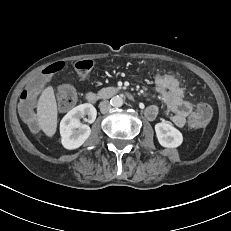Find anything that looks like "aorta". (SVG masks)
<instances>
[{
	"label": "aorta",
	"mask_w": 231,
	"mask_h": 231,
	"mask_svg": "<svg viewBox=\"0 0 231 231\" xmlns=\"http://www.w3.org/2000/svg\"><path fill=\"white\" fill-rule=\"evenodd\" d=\"M110 104L114 108H119V107H121L123 105V98L121 96H119V95H116V96L111 98Z\"/></svg>",
	"instance_id": "1"
}]
</instances>
